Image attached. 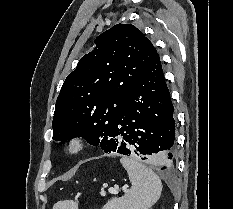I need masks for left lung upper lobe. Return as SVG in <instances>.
I'll return each mask as SVG.
<instances>
[{
	"instance_id": "1",
	"label": "left lung upper lobe",
	"mask_w": 233,
	"mask_h": 209,
	"mask_svg": "<svg viewBox=\"0 0 233 209\" xmlns=\"http://www.w3.org/2000/svg\"><path fill=\"white\" fill-rule=\"evenodd\" d=\"M95 44L62 85L52 123L56 141L83 137L101 147L135 83L157 55L150 40L132 24L114 25Z\"/></svg>"
}]
</instances>
